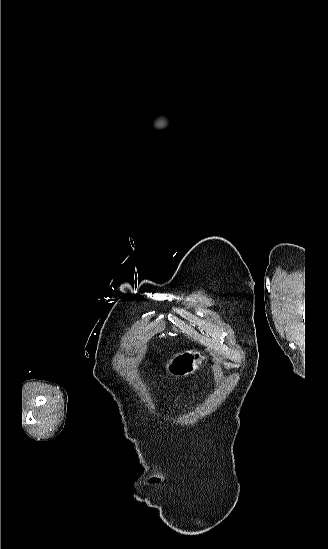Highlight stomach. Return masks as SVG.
I'll return each instance as SVG.
<instances>
[{
    "mask_svg": "<svg viewBox=\"0 0 328 549\" xmlns=\"http://www.w3.org/2000/svg\"><path fill=\"white\" fill-rule=\"evenodd\" d=\"M209 359L208 353L204 351H182L173 355L167 363H165V373L170 377H190L201 367H204Z\"/></svg>",
    "mask_w": 328,
    "mask_h": 549,
    "instance_id": "obj_1",
    "label": "stomach"
}]
</instances>
